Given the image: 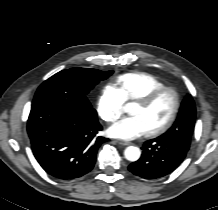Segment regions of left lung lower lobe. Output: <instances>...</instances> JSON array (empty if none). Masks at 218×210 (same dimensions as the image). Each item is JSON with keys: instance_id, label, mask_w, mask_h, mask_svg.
<instances>
[{"instance_id": "1", "label": "left lung lower lobe", "mask_w": 218, "mask_h": 210, "mask_svg": "<svg viewBox=\"0 0 218 210\" xmlns=\"http://www.w3.org/2000/svg\"><path fill=\"white\" fill-rule=\"evenodd\" d=\"M189 147L190 143L182 137L170 140L160 136L148 140L142 147L141 158L130 164L128 169L145 179L163 177L182 163Z\"/></svg>"}]
</instances>
